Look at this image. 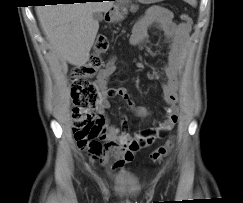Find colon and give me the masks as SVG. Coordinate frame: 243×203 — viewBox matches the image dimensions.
<instances>
[{"instance_id": "obj_1", "label": "colon", "mask_w": 243, "mask_h": 203, "mask_svg": "<svg viewBox=\"0 0 243 203\" xmlns=\"http://www.w3.org/2000/svg\"><path fill=\"white\" fill-rule=\"evenodd\" d=\"M181 19L191 25V17L184 13ZM108 41L99 37L93 47L89 61L75 67L71 73L72 100H73V133L78 146H87L90 142V135L95 123V105L99 98L98 91L92 82L94 75L105 66L102 55L108 50ZM173 147L172 139L154 150L151 160L158 162L166 157Z\"/></svg>"}]
</instances>
